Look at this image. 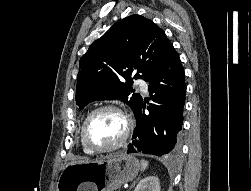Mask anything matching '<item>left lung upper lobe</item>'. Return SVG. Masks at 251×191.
<instances>
[{
	"mask_svg": "<svg viewBox=\"0 0 251 191\" xmlns=\"http://www.w3.org/2000/svg\"><path fill=\"white\" fill-rule=\"evenodd\" d=\"M172 49L152 20L134 14L118 21L80 59L76 104L83 109L95 100L120 99L135 115L143 99L133 93V79L149 81Z\"/></svg>",
	"mask_w": 251,
	"mask_h": 191,
	"instance_id": "obj_1",
	"label": "left lung upper lobe"
}]
</instances>
